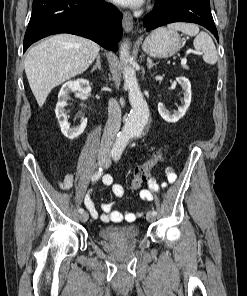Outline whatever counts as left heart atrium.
Returning <instances> with one entry per match:
<instances>
[{"label":"left heart atrium","mask_w":247,"mask_h":296,"mask_svg":"<svg viewBox=\"0 0 247 296\" xmlns=\"http://www.w3.org/2000/svg\"><path fill=\"white\" fill-rule=\"evenodd\" d=\"M118 5L129 6V7H138L141 5L143 0H112Z\"/></svg>","instance_id":"1"}]
</instances>
